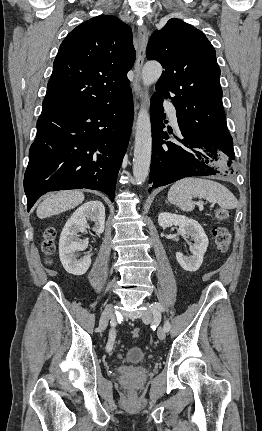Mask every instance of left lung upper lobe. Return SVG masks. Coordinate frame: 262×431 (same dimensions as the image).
<instances>
[{
	"instance_id": "1",
	"label": "left lung upper lobe",
	"mask_w": 262,
	"mask_h": 431,
	"mask_svg": "<svg viewBox=\"0 0 262 431\" xmlns=\"http://www.w3.org/2000/svg\"><path fill=\"white\" fill-rule=\"evenodd\" d=\"M146 54L165 69L154 94L172 99L181 130L211 140L229 134L216 52L203 32L172 18L152 34Z\"/></svg>"
}]
</instances>
